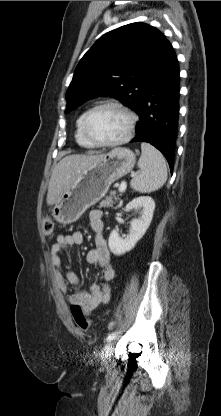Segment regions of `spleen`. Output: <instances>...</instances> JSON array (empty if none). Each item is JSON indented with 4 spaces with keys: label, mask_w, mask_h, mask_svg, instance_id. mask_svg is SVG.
<instances>
[{
    "label": "spleen",
    "mask_w": 221,
    "mask_h": 416,
    "mask_svg": "<svg viewBox=\"0 0 221 416\" xmlns=\"http://www.w3.org/2000/svg\"><path fill=\"white\" fill-rule=\"evenodd\" d=\"M141 169L131 182V188L140 193H150L161 188L167 180V166L162 153L149 143H141Z\"/></svg>",
    "instance_id": "obj_1"
}]
</instances>
